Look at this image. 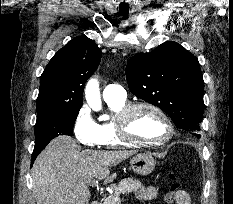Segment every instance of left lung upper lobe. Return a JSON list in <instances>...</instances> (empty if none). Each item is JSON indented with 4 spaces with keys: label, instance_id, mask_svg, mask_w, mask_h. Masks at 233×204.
Wrapping results in <instances>:
<instances>
[{
    "label": "left lung upper lobe",
    "instance_id": "left-lung-upper-lobe-1",
    "mask_svg": "<svg viewBox=\"0 0 233 204\" xmlns=\"http://www.w3.org/2000/svg\"><path fill=\"white\" fill-rule=\"evenodd\" d=\"M126 78L132 94L161 108L176 127L201 137L203 75L197 58L184 47L167 41L152 52L134 55Z\"/></svg>",
    "mask_w": 233,
    "mask_h": 204
}]
</instances>
